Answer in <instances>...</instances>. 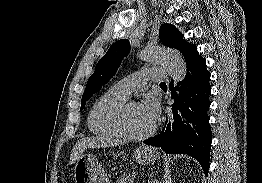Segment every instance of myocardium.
I'll return each mask as SVG.
<instances>
[{"instance_id":"obj_1","label":"myocardium","mask_w":262,"mask_h":183,"mask_svg":"<svg viewBox=\"0 0 262 183\" xmlns=\"http://www.w3.org/2000/svg\"><path fill=\"white\" fill-rule=\"evenodd\" d=\"M133 104L139 105L138 102L130 100V101H125L118 108L113 118L114 126L116 130L118 131V133L120 134V136L123 138L129 139V140H144L152 136L155 133L157 127L156 125H153V127L149 131L142 133V134H134L130 132L127 129L125 117H126V112H127L128 107Z\"/></svg>"}]
</instances>
